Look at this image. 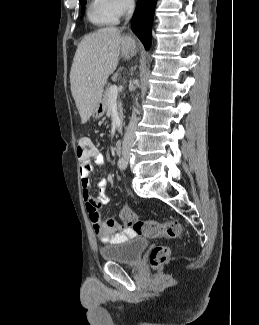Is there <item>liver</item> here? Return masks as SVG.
I'll list each match as a JSON object with an SVG mask.
<instances>
[{"label":"liver","instance_id":"1","mask_svg":"<svg viewBox=\"0 0 259 325\" xmlns=\"http://www.w3.org/2000/svg\"><path fill=\"white\" fill-rule=\"evenodd\" d=\"M136 41L122 36L116 27H107L86 36L78 45L70 72L71 92L85 124L101 101L103 88L118 65L119 56L130 59Z\"/></svg>","mask_w":259,"mask_h":325}]
</instances>
